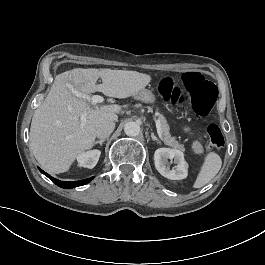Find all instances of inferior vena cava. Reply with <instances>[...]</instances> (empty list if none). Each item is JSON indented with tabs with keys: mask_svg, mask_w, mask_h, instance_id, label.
Here are the masks:
<instances>
[{
	"mask_svg": "<svg viewBox=\"0 0 265 265\" xmlns=\"http://www.w3.org/2000/svg\"><path fill=\"white\" fill-rule=\"evenodd\" d=\"M115 128V123L110 120L101 121L95 128L96 136L105 139L110 136Z\"/></svg>",
	"mask_w": 265,
	"mask_h": 265,
	"instance_id": "1",
	"label": "inferior vena cava"
}]
</instances>
